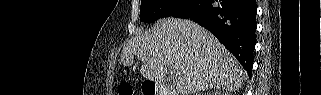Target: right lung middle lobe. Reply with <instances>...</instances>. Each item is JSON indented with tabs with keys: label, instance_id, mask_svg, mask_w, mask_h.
<instances>
[{
	"label": "right lung middle lobe",
	"instance_id": "dd1d6c3e",
	"mask_svg": "<svg viewBox=\"0 0 321 95\" xmlns=\"http://www.w3.org/2000/svg\"><path fill=\"white\" fill-rule=\"evenodd\" d=\"M206 0H141L140 20L153 22L163 17L188 18Z\"/></svg>",
	"mask_w": 321,
	"mask_h": 95
}]
</instances>
